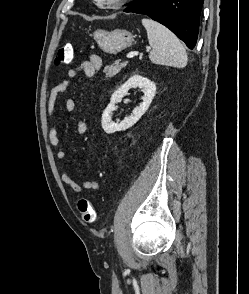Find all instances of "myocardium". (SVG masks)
<instances>
[{"instance_id":"obj_1","label":"myocardium","mask_w":249,"mask_h":294,"mask_svg":"<svg viewBox=\"0 0 249 294\" xmlns=\"http://www.w3.org/2000/svg\"><path fill=\"white\" fill-rule=\"evenodd\" d=\"M94 3L101 9H119L129 0H113L108 3H101L98 0H93Z\"/></svg>"}]
</instances>
